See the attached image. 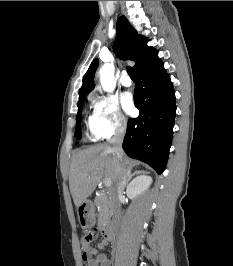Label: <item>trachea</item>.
<instances>
[{"instance_id": "1", "label": "trachea", "mask_w": 233, "mask_h": 266, "mask_svg": "<svg viewBox=\"0 0 233 266\" xmlns=\"http://www.w3.org/2000/svg\"><path fill=\"white\" fill-rule=\"evenodd\" d=\"M127 72H128L129 76H130L132 79L135 78L134 70H133L132 67L129 66V67L127 68Z\"/></svg>"}]
</instances>
